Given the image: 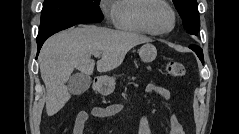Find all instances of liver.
Instances as JSON below:
<instances>
[{"label": "liver", "instance_id": "liver-1", "mask_svg": "<svg viewBox=\"0 0 239 134\" xmlns=\"http://www.w3.org/2000/svg\"><path fill=\"white\" fill-rule=\"evenodd\" d=\"M150 41L138 33L92 25L72 28L50 37L40 54L47 115H55L70 99L66 82L75 68L88 76L93 73L95 62L91 56L95 52L102 54L97 61L98 72H108L122 64L130 49Z\"/></svg>", "mask_w": 239, "mask_h": 134}]
</instances>
